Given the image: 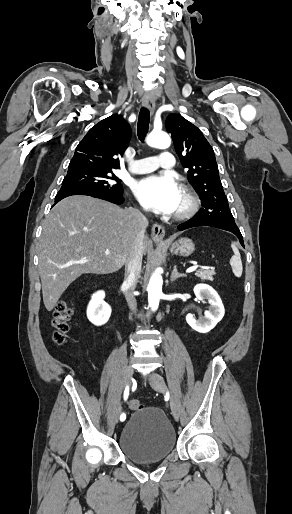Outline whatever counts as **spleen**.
<instances>
[{
    "label": "spleen",
    "instance_id": "1",
    "mask_svg": "<svg viewBox=\"0 0 292 514\" xmlns=\"http://www.w3.org/2000/svg\"><path fill=\"white\" fill-rule=\"evenodd\" d=\"M231 248L234 252V256H232L230 260V266L232 268V272L236 278H241L243 272L242 260L239 254L238 248H236L235 244H231Z\"/></svg>",
    "mask_w": 292,
    "mask_h": 514
}]
</instances>
